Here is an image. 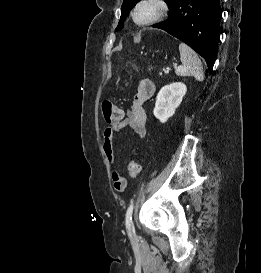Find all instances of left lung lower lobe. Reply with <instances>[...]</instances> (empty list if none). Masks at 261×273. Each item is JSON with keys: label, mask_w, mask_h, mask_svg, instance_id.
Listing matches in <instances>:
<instances>
[{"label": "left lung lower lobe", "mask_w": 261, "mask_h": 273, "mask_svg": "<svg viewBox=\"0 0 261 273\" xmlns=\"http://www.w3.org/2000/svg\"><path fill=\"white\" fill-rule=\"evenodd\" d=\"M165 22L155 24L201 55L212 72L221 19L220 0H176Z\"/></svg>", "instance_id": "0a47b994"}]
</instances>
